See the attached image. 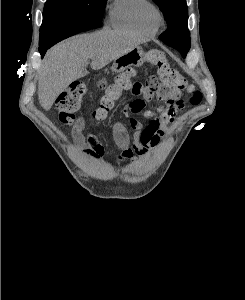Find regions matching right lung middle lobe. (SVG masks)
Wrapping results in <instances>:
<instances>
[{
    "label": "right lung middle lobe",
    "mask_w": 245,
    "mask_h": 300,
    "mask_svg": "<svg viewBox=\"0 0 245 300\" xmlns=\"http://www.w3.org/2000/svg\"><path fill=\"white\" fill-rule=\"evenodd\" d=\"M106 0H47L40 28V46L57 42L84 31L85 25L101 22Z\"/></svg>",
    "instance_id": "obj_1"
}]
</instances>
